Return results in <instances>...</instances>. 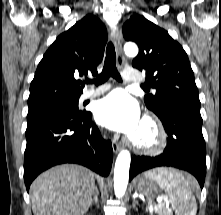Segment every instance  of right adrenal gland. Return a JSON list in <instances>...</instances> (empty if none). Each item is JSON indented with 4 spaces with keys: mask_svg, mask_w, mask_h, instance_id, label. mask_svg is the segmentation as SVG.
Instances as JSON below:
<instances>
[{
    "mask_svg": "<svg viewBox=\"0 0 221 215\" xmlns=\"http://www.w3.org/2000/svg\"><path fill=\"white\" fill-rule=\"evenodd\" d=\"M98 195H99V193H98V190H97L94 194V199L91 202V206L94 205V204L98 205Z\"/></svg>",
    "mask_w": 221,
    "mask_h": 215,
    "instance_id": "2a0ac1e0",
    "label": "right adrenal gland"
}]
</instances>
